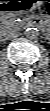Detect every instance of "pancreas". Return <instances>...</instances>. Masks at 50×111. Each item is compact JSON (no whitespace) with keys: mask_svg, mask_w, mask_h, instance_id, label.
<instances>
[{"mask_svg":"<svg viewBox=\"0 0 50 111\" xmlns=\"http://www.w3.org/2000/svg\"><path fill=\"white\" fill-rule=\"evenodd\" d=\"M19 24L16 23V21L14 19H10V20H5L2 22V27L3 28H8V27H17Z\"/></svg>","mask_w":50,"mask_h":111,"instance_id":"obj_1","label":"pancreas"}]
</instances>
